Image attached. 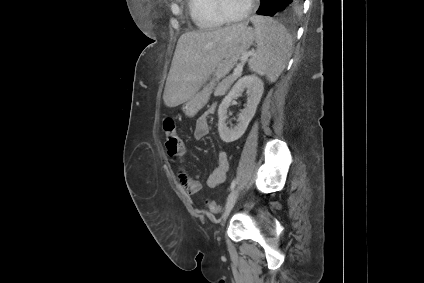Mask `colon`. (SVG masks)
Returning <instances> with one entry per match:
<instances>
[{
	"label": "colon",
	"mask_w": 424,
	"mask_h": 283,
	"mask_svg": "<svg viewBox=\"0 0 424 283\" xmlns=\"http://www.w3.org/2000/svg\"><path fill=\"white\" fill-rule=\"evenodd\" d=\"M163 132L165 137V144L171 147L170 154L171 155L182 154L183 141L177 133L176 121L173 118L168 117L164 120ZM206 206L211 213L220 212V206L213 200H207Z\"/></svg>",
	"instance_id": "colon-1"
}]
</instances>
